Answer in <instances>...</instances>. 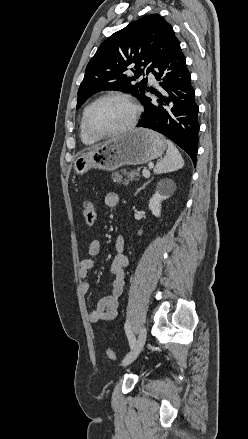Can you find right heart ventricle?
I'll list each match as a JSON object with an SVG mask.
<instances>
[{"label":"right heart ventricle","mask_w":248,"mask_h":439,"mask_svg":"<svg viewBox=\"0 0 248 439\" xmlns=\"http://www.w3.org/2000/svg\"><path fill=\"white\" fill-rule=\"evenodd\" d=\"M80 138H81L82 142H83L84 144H86V145H92V144H94L95 142L98 141L97 138H94V137L90 136V135L84 130L82 120H81V122H80Z\"/></svg>","instance_id":"1"}]
</instances>
